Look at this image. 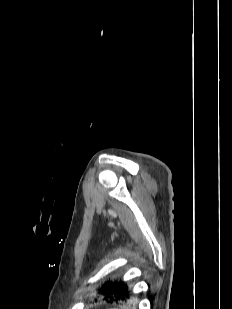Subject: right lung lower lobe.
Here are the masks:
<instances>
[{
  "mask_svg": "<svg viewBox=\"0 0 232 309\" xmlns=\"http://www.w3.org/2000/svg\"><path fill=\"white\" fill-rule=\"evenodd\" d=\"M99 292L104 295L106 299H110L111 302H130L132 299L130 290H128L127 285L122 282H115L108 287H102Z\"/></svg>",
  "mask_w": 232,
  "mask_h": 309,
  "instance_id": "98d812e1",
  "label": "right lung lower lobe"
}]
</instances>
